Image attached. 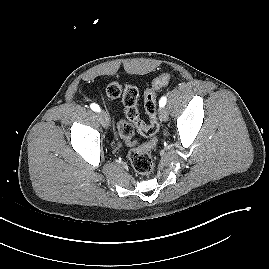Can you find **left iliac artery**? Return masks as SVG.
Here are the masks:
<instances>
[{"instance_id":"obj_1","label":"left iliac artery","mask_w":269,"mask_h":269,"mask_svg":"<svg viewBox=\"0 0 269 269\" xmlns=\"http://www.w3.org/2000/svg\"><path fill=\"white\" fill-rule=\"evenodd\" d=\"M167 98L165 96L161 97L160 101H159V106L160 107H164L166 104Z\"/></svg>"}]
</instances>
